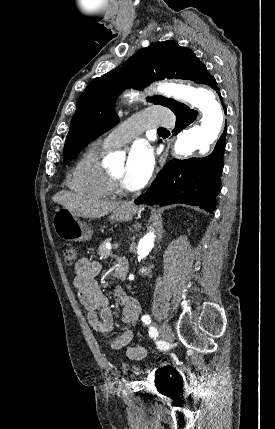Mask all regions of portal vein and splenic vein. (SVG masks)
I'll return each instance as SVG.
<instances>
[{"label": "portal vein and splenic vein", "instance_id": "1", "mask_svg": "<svg viewBox=\"0 0 275 429\" xmlns=\"http://www.w3.org/2000/svg\"><path fill=\"white\" fill-rule=\"evenodd\" d=\"M118 246H119V244H118V243H115V244H114V247H115V248H117ZM107 248H108V249H111V246H108Z\"/></svg>", "mask_w": 275, "mask_h": 429}]
</instances>
